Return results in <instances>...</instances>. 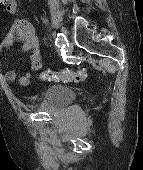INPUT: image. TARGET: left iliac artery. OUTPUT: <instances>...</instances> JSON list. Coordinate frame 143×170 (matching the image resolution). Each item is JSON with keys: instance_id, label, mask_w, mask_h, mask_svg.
<instances>
[{"instance_id": "44dca946", "label": "left iliac artery", "mask_w": 143, "mask_h": 170, "mask_svg": "<svg viewBox=\"0 0 143 170\" xmlns=\"http://www.w3.org/2000/svg\"><path fill=\"white\" fill-rule=\"evenodd\" d=\"M67 42H68V40H67V38L65 37L64 34L57 33V37H56V41H55L56 46L64 45ZM67 45H69V43H67Z\"/></svg>"}]
</instances>
